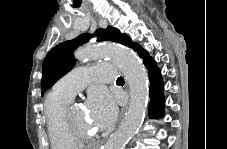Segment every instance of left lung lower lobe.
<instances>
[{
	"label": "left lung lower lobe",
	"mask_w": 227,
	"mask_h": 149,
	"mask_svg": "<svg viewBox=\"0 0 227 149\" xmlns=\"http://www.w3.org/2000/svg\"><path fill=\"white\" fill-rule=\"evenodd\" d=\"M127 46L132 48L143 59L147 67L149 80H150V104H149V117L161 118L164 115L165 99L163 95V80L159 68L155 61L149 56L148 52L144 50L137 43L128 41Z\"/></svg>",
	"instance_id": "1"
}]
</instances>
